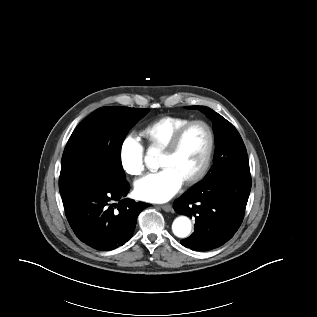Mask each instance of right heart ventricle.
Returning a JSON list of instances; mask_svg holds the SVG:
<instances>
[{"mask_svg": "<svg viewBox=\"0 0 317 317\" xmlns=\"http://www.w3.org/2000/svg\"><path fill=\"white\" fill-rule=\"evenodd\" d=\"M190 120L180 116H164L144 126L140 135L150 149L163 151L172 136Z\"/></svg>", "mask_w": 317, "mask_h": 317, "instance_id": "e07e8e85", "label": "right heart ventricle"}]
</instances>
